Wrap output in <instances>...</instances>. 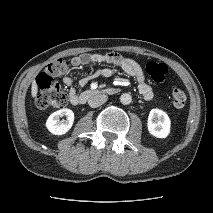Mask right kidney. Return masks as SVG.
Segmentation results:
<instances>
[{
  "instance_id": "ca27d5eb",
  "label": "right kidney",
  "mask_w": 213,
  "mask_h": 213,
  "mask_svg": "<svg viewBox=\"0 0 213 213\" xmlns=\"http://www.w3.org/2000/svg\"><path fill=\"white\" fill-rule=\"evenodd\" d=\"M65 116L66 119L60 121V118ZM74 122V112L70 109L64 108L52 113L47 121V129L54 135H63L67 133Z\"/></svg>"
}]
</instances>
